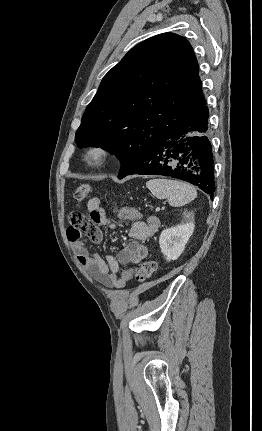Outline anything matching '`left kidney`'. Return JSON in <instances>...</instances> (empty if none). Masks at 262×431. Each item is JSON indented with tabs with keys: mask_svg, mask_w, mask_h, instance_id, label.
Listing matches in <instances>:
<instances>
[{
	"mask_svg": "<svg viewBox=\"0 0 262 431\" xmlns=\"http://www.w3.org/2000/svg\"><path fill=\"white\" fill-rule=\"evenodd\" d=\"M194 223L189 222L165 229L161 232L159 245L167 261L176 260L185 249L194 231Z\"/></svg>",
	"mask_w": 262,
	"mask_h": 431,
	"instance_id": "5707ae66",
	"label": "left kidney"
}]
</instances>
